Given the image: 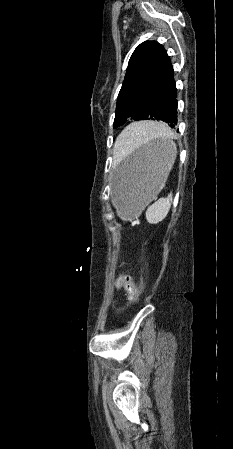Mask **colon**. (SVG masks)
<instances>
[{
	"label": "colon",
	"instance_id": "1",
	"mask_svg": "<svg viewBox=\"0 0 233 449\" xmlns=\"http://www.w3.org/2000/svg\"><path fill=\"white\" fill-rule=\"evenodd\" d=\"M114 283V289L116 291H119L121 288L126 291L130 303L136 304L138 302V287L132 274L121 275L114 280Z\"/></svg>",
	"mask_w": 233,
	"mask_h": 449
}]
</instances>
